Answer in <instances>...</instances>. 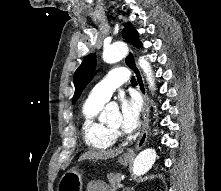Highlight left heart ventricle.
<instances>
[{
  "instance_id": "left-heart-ventricle-1",
  "label": "left heart ventricle",
  "mask_w": 221,
  "mask_h": 191,
  "mask_svg": "<svg viewBox=\"0 0 221 191\" xmlns=\"http://www.w3.org/2000/svg\"><path fill=\"white\" fill-rule=\"evenodd\" d=\"M111 127L118 128L120 126V115L116 114L108 123Z\"/></svg>"
}]
</instances>
